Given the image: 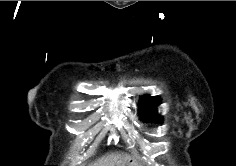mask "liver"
Listing matches in <instances>:
<instances>
[{
    "mask_svg": "<svg viewBox=\"0 0 236 166\" xmlns=\"http://www.w3.org/2000/svg\"><path fill=\"white\" fill-rule=\"evenodd\" d=\"M130 160V157L125 154L111 153L102 158L98 159L96 162L90 164L89 166H117L121 161Z\"/></svg>",
    "mask_w": 236,
    "mask_h": 166,
    "instance_id": "1",
    "label": "liver"
}]
</instances>
